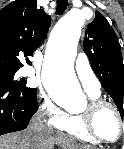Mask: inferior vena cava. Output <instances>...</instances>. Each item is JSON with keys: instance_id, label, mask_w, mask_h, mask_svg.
I'll list each match as a JSON object with an SVG mask.
<instances>
[{"instance_id": "1", "label": "inferior vena cava", "mask_w": 124, "mask_h": 149, "mask_svg": "<svg viewBox=\"0 0 124 149\" xmlns=\"http://www.w3.org/2000/svg\"><path fill=\"white\" fill-rule=\"evenodd\" d=\"M33 137H38V133L45 131V127L42 122V115L37 113L31 120L27 130Z\"/></svg>"}]
</instances>
